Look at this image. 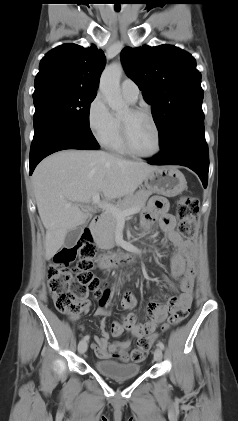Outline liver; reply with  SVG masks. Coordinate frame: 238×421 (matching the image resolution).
<instances>
[{
  "mask_svg": "<svg viewBox=\"0 0 238 421\" xmlns=\"http://www.w3.org/2000/svg\"><path fill=\"white\" fill-rule=\"evenodd\" d=\"M155 168L101 150H64L44 159L33 173V187L46 229V259L90 216L91 209L80 208L79 203L89 202L95 193L106 200L131 195ZM68 203L72 206L66 207Z\"/></svg>",
  "mask_w": 238,
  "mask_h": 421,
  "instance_id": "6515ba94",
  "label": "liver"
}]
</instances>
